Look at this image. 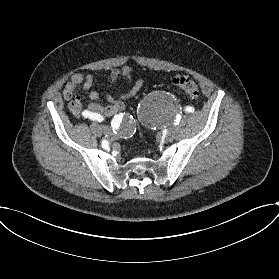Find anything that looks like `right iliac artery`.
Returning a JSON list of instances; mask_svg holds the SVG:
<instances>
[{"label":"right iliac artery","instance_id":"82829eb1","mask_svg":"<svg viewBox=\"0 0 279 279\" xmlns=\"http://www.w3.org/2000/svg\"><path fill=\"white\" fill-rule=\"evenodd\" d=\"M80 115H81V117H83L86 120H88L90 118L95 120V121H99V122L104 120V118L100 114H95L94 115L92 112L83 111V112H81ZM111 125H112L113 128L122 129L126 125V120L122 116H115L114 119L111 122Z\"/></svg>","mask_w":279,"mask_h":279}]
</instances>
